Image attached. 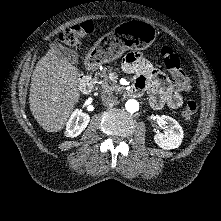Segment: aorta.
Returning <instances> with one entry per match:
<instances>
[{
	"label": "aorta",
	"mask_w": 221,
	"mask_h": 221,
	"mask_svg": "<svg viewBox=\"0 0 221 221\" xmlns=\"http://www.w3.org/2000/svg\"><path fill=\"white\" fill-rule=\"evenodd\" d=\"M125 108L130 113H135L139 110V103L134 99H129L125 103Z\"/></svg>",
	"instance_id": "1"
}]
</instances>
